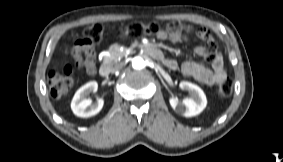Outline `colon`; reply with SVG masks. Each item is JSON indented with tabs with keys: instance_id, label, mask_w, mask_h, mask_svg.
Here are the masks:
<instances>
[{
	"instance_id": "obj_1",
	"label": "colon",
	"mask_w": 283,
	"mask_h": 162,
	"mask_svg": "<svg viewBox=\"0 0 283 162\" xmlns=\"http://www.w3.org/2000/svg\"><path fill=\"white\" fill-rule=\"evenodd\" d=\"M160 27L156 23H134L130 24L123 32L132 38H139L143 35H157ZM85 40L89 43L99 42L104 36V26L101 23L89 25L84 30ZM47 83L50 94L53 98H60L73 87L72 70L70 66H64L60 69H53L48 73ZM218 95L222 98L229 97L233 91V83L230 80H224L218 85Z\"/></svg>"
}]
</instances>
